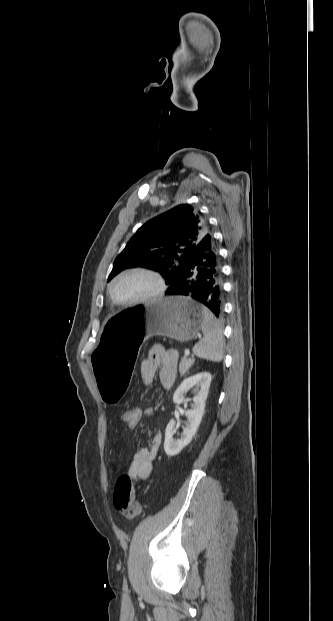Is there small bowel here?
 Masks as SVG:
<instances>
[{
    "label": "small bowel",
    "mask_w": 333,
    "mask_h": 621,
    "mask_svg": "<svg viewBox=\"0 0 333 621\" xmlns=\"http://www.w3.org/2000/svg\"><path fill=\"white\" fill-rule=\"evenodd\" d=\"M177 352L173 349L154 346L149 351L148 357L142 362L141 376L145 384H150L158 371L159 381L164 389H169L177 376ZM144 414H152L151 409ZM161 442L160 434H156L150 447L140 448L132 458L128 475L134 481L146 480L152 473L154 459Z\"/></svg>",
    "instance_id": "c3829d8e"
}]
</instances>
